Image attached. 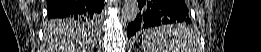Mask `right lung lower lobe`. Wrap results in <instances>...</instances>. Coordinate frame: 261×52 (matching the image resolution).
<instances>
[{
	"label": "right lung lower lobe",
	"mask_w": 261,
	"mask_h": 52,
	"mask_svg": "<svg viewBox=\"0 0 261 52\" xmlns=\"http://www.w3.org/2000/svg\"><path fill=\"white\" fill-rule=\"evenodd\" d=\"M103 6V0H47L48 19L69 16L98 19Z\"/></svg>",
	"instance_id": "1"
}]
</instances>
